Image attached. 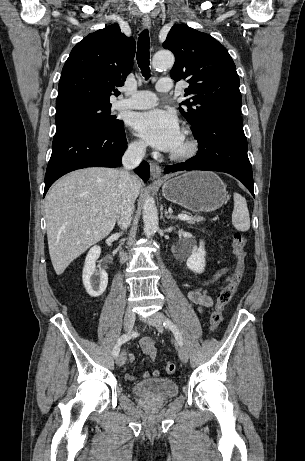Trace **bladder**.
Returning a JSON list of instances; mask_svg holds the SVG:
<instances>
[{"label": "bladder", "instance_id": "obj_1", "mask_svg": "<svg viewBox=\"0 0 305 461\" xmlns=\"http://www.w3.org/2000/svg\"><path fill=\"white\" fill-rule=\"evenodd\" d=\"M132 390L143 397L164 400L176 396L179 387L171 378H151L135 383Z\"/></svg>", "mask_w": 305, "mask_h": 461}]
</instances>
